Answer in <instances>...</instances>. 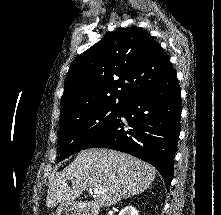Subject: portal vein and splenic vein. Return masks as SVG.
<instances>
[{
  "mask_svg": "<svg viewBox=\"0 0 221 215\" xmlns=\"http://www.w3.org/2000/svg\"><path fill=\"white\" fill-rule=\"evenodd\" d=\"M89 190H90L91 192H93L94 194H100V193H102V191H101L100 189H92V188L90 187Z\"/></svg>",
  "mask_w": 221,
  "mask_h": 215,
  "instance_id": "portal-vein-and-splenic-vein-1",
  "label": "portal vein and splenic vein"
}]
</instances>
